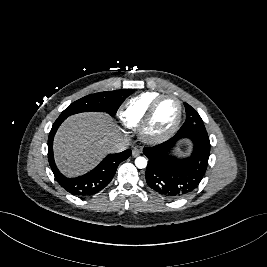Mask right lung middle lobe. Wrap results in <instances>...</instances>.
<instances>
[{
	"label": "right lung middle lobe",
	"instance_id": "dd1d6c3e",
	"mask_svg": "<svg viewBox=\"0 0 267 267\" xmlns=\"http://www.w3.org/2000/svg\"><path fill=\"white\" fill-rule=\"evenodd\" d=\"M133 92V89H121L85 96L70 104L56 121L63 122L70 115L87 111L106 112L114 116L123 101Z\"/></svg>",
	"mask_w": 267,
	"mask_h": 267
}]
</instances>
